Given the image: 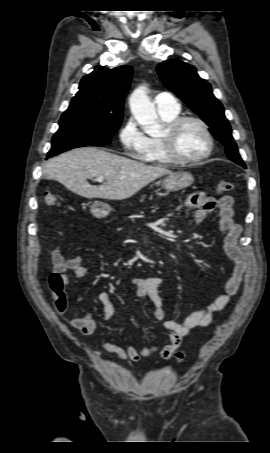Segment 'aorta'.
<instances>
[{
	"label": "aorta",
	"mask_w": 270,
	"mask_h": 453,
	"mask_svg": "<svg viewBox=\"0 0 270 453\" xmlns=\"http://www.w3.org/2000/svg\"><path fill=\"white\" fill-rule=\"evenodd\" d=\"M131 112L148 135H156L161 130L154 104L151 102L147 88H136L129 98Z\"/></svg>",
	"instance_id": "obj_1"
}]
</instances>
